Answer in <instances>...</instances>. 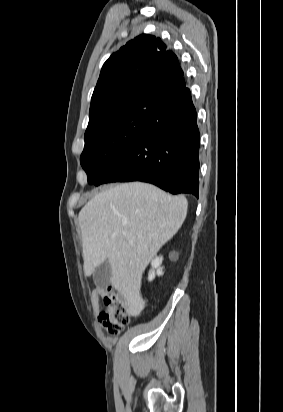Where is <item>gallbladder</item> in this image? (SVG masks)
Instances as JSON below:
<instances>
[{
	"mask_svg": "<svg viewBox=\"0 0 283 412\" xmlns=\"http://www.w3.org/2000/svg\"><path fill=\"white\" fill-rule=\"evenodd\" d=\"M112 269L109 260L100 264L93 273V280L97 287L104 289L110 284Z\"/></svg>",
	"mask_w": 283,
	"mask_h": 412,
	"instance_id": "bac80fb5",
	"label": "gallbladder"
}]
</instances>
